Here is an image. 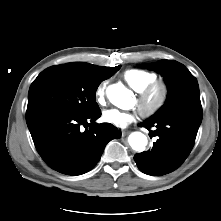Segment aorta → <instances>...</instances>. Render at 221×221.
<instances>
[{
	"mask_svg": "<svg viewBox=\"0 0 221 221\" xmlns=\"http://www.w3.org/2000/svg\"><path fill=\"white\" fill-rule=\"evenodd\" d=\"M107 97L110 102L121 109H127L130 106L132 92L122 84L110 85L107 90ZM131 148L135 151H143L147 146L146 135L141 132H133L128 137Z\"/></svg>",
	"mask_w": 221,
	"mask_h": 221,
	"instance_id": "1",
	"label": "aorta"
}]
</instances>
